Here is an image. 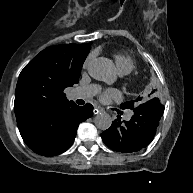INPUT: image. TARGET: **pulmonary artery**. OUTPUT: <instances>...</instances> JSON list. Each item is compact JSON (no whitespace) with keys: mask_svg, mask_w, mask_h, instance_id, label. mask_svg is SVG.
Instances as JSON below:
<instances>
[{"mask_svg":"<svg viewBox=\"0 0 193 193\" xmlns=\"http://www.w3.org/2000/svg\"><path fill=\"white\" fill-rule=\"evenodd\" d=\"M99 91V86L95 84L87 85V86H79L77 87L72 95L74 97L85 98L92 97Z\"/></svg>","mask_w":193,"mask_h":193,"instance_id":"pulmonary-artery-1","label":"pulmonary artery"}]
</instances>
